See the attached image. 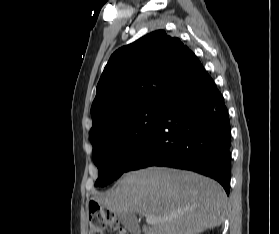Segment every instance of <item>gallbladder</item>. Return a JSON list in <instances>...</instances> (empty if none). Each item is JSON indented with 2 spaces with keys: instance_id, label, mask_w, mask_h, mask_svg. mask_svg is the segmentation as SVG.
Instances as JSON below:
<instances>
[{
  "instance_id": "gallbladder-1",
  "label": "gallbladder",
  "mask_w": 279,
  "mask_h": 234,
  "mask_svg": "<svg viewBox=\"0 0 279 234\" xmlns=\"http://www.w3.org/2000/svg\"><path fill=\"white\" fill-rule=\"evenodd\" d=\"M118 218L124 227L133 234H139L137 219L132 213H119Z\"/></svg>"
}]
</instances>
